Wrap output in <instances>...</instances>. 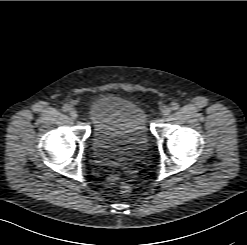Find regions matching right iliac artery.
I'll list each match as a JSON object with an SVG mask.
<instances>
[{
    "label": "right iliac artery",
    "mask_w": 247,
    "mask_h": 245,
    "mask_svg": "<svg viewBox=\"0 0 247 245\" xmlns=\"http://www.w3.org/2000/svg\"><path fill=\"white\" fill-rule=\"evenodd\" d=\"M62 109H63L64 112H67V111H69V106L68 105H64L62 107Z\"/></svg>",
    "instance_id": "obj_1"
}]
</instances>
